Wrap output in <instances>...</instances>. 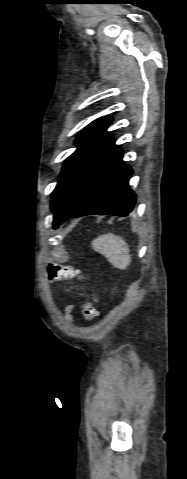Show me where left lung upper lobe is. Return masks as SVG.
Returning <instances> with one entry per match:
<instances>
[{
  "label": "left lung upper lobe",
  "mask_w": 187,
  "mask_h": 479,
  "mask_svg": "<svg viewBox=\"0 0 187 479\" xmlns=\"http://www.w3.org/2000/svg\"><path fill=\"white\" fill-rule=\"evenodd\" d=\"M110 122L111 118H99L77 136L75 142L78 149L64 163L60 181L52 193V210L57 207L84 170L114 145L105 132Z\"/></svg>",
  "instance_id": "obj_1"
}]
</instances>
